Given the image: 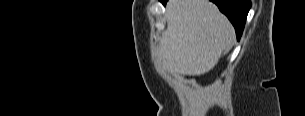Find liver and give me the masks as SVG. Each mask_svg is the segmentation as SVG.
I'll return each mask as SVG.
<instances>
[{
	"instance_id": "liver-1",
	"label": "liver",
	"mask_w": 305,
	"mask_h": 116,
	"mask_svg": "<svg viewBox=\"0 0 305 116\" xmlns=\"http://www.w3.org/2000/svg\"><path fill=\"white\" fill-rule=\"evenodd\" d=\"M166 17L160 62L173 76L209 72L235 36L229 20L209 0H170Z\"/></svg>"
}]
</instances>
